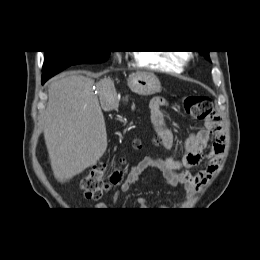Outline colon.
Listing matches in <instances>:
<instances>
[{
	"mask_svg": "<svg viewBox=\"0 0 260 260\" xmlns=\"http://www.w3.org/2000/svg\"><path fill=\"white\" fill-rule=\"evenodd\" d=\"M186 113L195 120H205L215 116L212 102L205 96H187L182 100ZM106 165L95 164L81 180L80 187L85 198L89 200L99 199L111 186L116 185L122 177V170L115 169L109 179L105 178Z\"/></svg>",
	"mask_w": 260,
	"mask_h": 260,
	"instance_id": "obj_1",
	"label": "colon"
}]
</instances>
